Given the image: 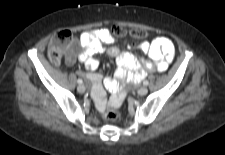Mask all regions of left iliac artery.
<instances>
[{
    "label": "left iliac artery",
    "instance_id": "left-iliac-artery-1",
    "mask_svg": "<svg viewBox=\"0 0 225 155\" xmlns=\"http://www.w3.org/2000/svg\"><path fill=\"white\" fill-rule=\"evenodd\" d=\"M143 84H144L145 86H147V85L149 84V82H148L147 80H145V81L143 82Z\"/></svg>",
    "mask_w": 225,
    "mask_h": 155
}]
</instances>
